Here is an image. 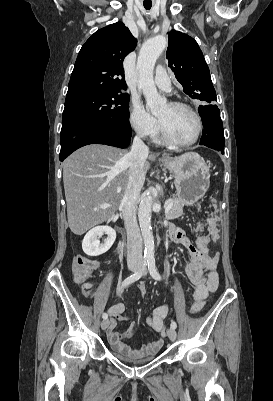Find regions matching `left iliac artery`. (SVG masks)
I'll list each match as a JSON object with an SVG mask.
<instances>
[{
	"label": "left iliac artery",
	"mask_w": 273,
	"mask_h": 401,
	"mask_svg": "<svg viewBox=\"0 0 273 401\" xmlns=\"http://www.w3.org/2000/svg\"><path fill=\"white\" fill-rule=\"evenodd\" d=\"M148 269H149V271H150L151 276H152L154 279H156V280H161V276H160V274L158 273V271H157V269H156V266H155V258H154V257H150V258L148 259ZM170 326H171V328L176 329L177 324H176V322L172 321Z\"/></svg>",
	"instance_id": "44dca946"
}]
</instances>
